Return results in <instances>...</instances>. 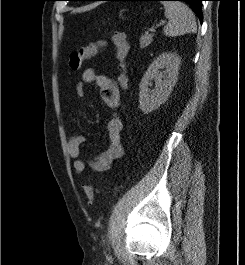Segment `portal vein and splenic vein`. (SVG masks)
Wrapping results in <instances>:
<instances>
[{
	"instance_id": "18ae733b",
	"label": "portal vein and splenic vein",
	"mask_w": 245,
	"mask_h": 265,
	"mask_svg": "<svg viewBox=\"0 0 245 265\" xmlns=\"http://www.w3.org/2000/svg\"><path fill=\"white\" fill-rule=\"evenodd\" d=\"M164 23H165V22L162 21L161 23L157 24V25H156V28L160 27V26L163 25ZM150 31H151V33H154L156 30H155V28H152Z\"/></svg>"
}]
</instances>
